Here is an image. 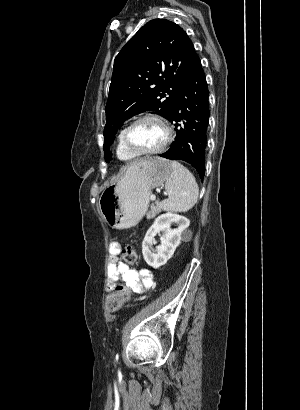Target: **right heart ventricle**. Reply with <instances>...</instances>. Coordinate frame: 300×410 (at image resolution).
Masks as SVG:
<instances>
[{"instance_id":"obj_1","label":"right heart ventricle","mask_w":300,"mask_h":410,"mask_svg":"<svg viewBox=\"0 0 300 410\" xmlns=\"http://www.w3.org/2000/svg\"><path fill=\"white\" fill-rule=\"evenodd\" d=\"M122 132L123 130L120 131L118 138H117V147H116V154L117 157L122 160V161H130L135 159L137 156L132 154L124 145L122 142Z\"/></svg>"}]
</instances>
